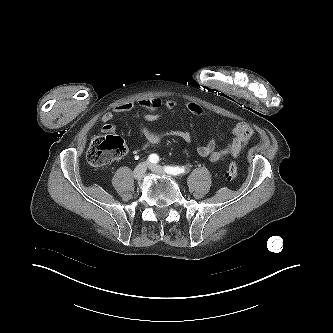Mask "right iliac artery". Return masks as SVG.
Masks as SVG:
<instances>
[{
    "instance_id": "obj_1",
    "label": "right iliac artery",
    "mask_w": 333,
    "mask_h": 333,
    "mask_svg": "<svg viewBox=\"0 0 333 333\" xmlns=\"http://www.w3.org/2000/svg\"><path fill=\"white\" fill-rule=\"evenodd\" d=\"M148 159L151 163L159 162V157L157 154H151Z\"/></svg>"
}]
</instances>
